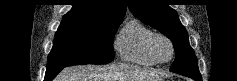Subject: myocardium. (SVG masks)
I'll list each match as a JSON object with an SVG mask.
<instances>
[{
  "label": "myocardium",
  "mask_w": 237,
  "mask_h": 81,
  "mask_svg": "<svg viewBox=\"0 0 237 81\" xmlns=\"http://www.w3.org/2000/svg\"><path fill=\"white\" fill-rule=\"evenodd\" d=\"M159 40L166 41L170 46L171 54H170V57L167 60H161L158 57L156 46H157V42ZM149 50H150V53H151L152 57L159 64H168V63H170L172 61V59L174 58V54H175V49H174L173 42L171 41L170 38H168L166 35L161 34V33H154L152 35V37L150 38V41H149Z\"/></svg>",
  "instance_id": "f54148a6"
}]
</instances>
